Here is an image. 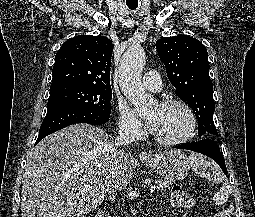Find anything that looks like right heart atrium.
Masks as SVG:
<instances>
[{
	"instance_id": "d8ad5b80",
	"label": "right heart atrium",
	"mask_w": 255,
	"mask_h": 217,
	"mask_svg": "<svg viewBox=\"0 0 255 217\" xmlns=\"http://www.w3.org/2000/svg\"><path fill=\"white\" fill-rule=\"evenodd\" d=\"M118 127L119 131L129 137H140L143 135V126L141 121L136 117L133 110L125 103H119Z\"/></svg>"
}]
</instances>
